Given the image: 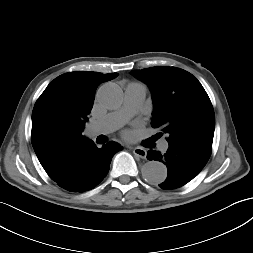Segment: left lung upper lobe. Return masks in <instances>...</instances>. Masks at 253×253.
Wrapping results in <instances>:
<instances>
[{"instance_id": "left-lung-upper-lobe-1", "label": "left lung upper lobe", "mask_w": 253, "mask_h": 253, "mask_svg": "<svg viewBox=\"0 0 253 253\" xmlns=\"http://www.w3.org/2000/svg\"><path fill=\"white\" fill-rule=\"evenodd\" d=\"M132 74L149 86L154 103L151 125L168 134V143L211 152L215 129L213 106L191 73L157 66L133 70Z\"/></svg>"}]
</instances>
